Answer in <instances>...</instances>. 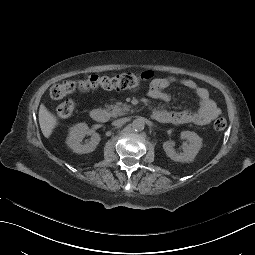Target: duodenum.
Returning a JSON list of instances; mask_svg holds the SVG:
<instances>
[{
    "instance_id": "obj_1",
    "label": "duodenum",
    "mask_w": 255,
    "mask_h": 255,
    "mask_svg": "<svg viewBox=\"0 0 255 255\" xmlns=\"http://www.w3.org/2000/svg\"><path fill=\"white\" fill-rule=\"evenodd\" d=\"M89 116L96 122H105L109 117L107 111L101 107L92 108L89 111ZM152 117L160 123H169L171 121V114L164 110H154L152 112Z\"/></svg>"
}]
</instances>
